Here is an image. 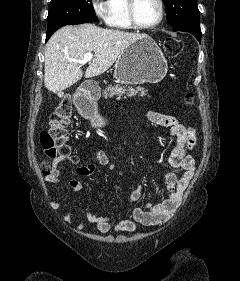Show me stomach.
<instances>
[{
	"label": "stomach",
	"mask_w": 240,
	"mask_h": 281,
	"mask_svg": "<svg viewBox=\"0 0 240 281\" xmlns=\"http://www.w3.org/2000/svg\"><path fill=\"white\" fill-rule=\"evenodd\" d=\"M167 73V61L157 43L148 35L127 47L114 66V78L122 84L160 82ZM93 125L104 124L96 106L89 104L84 112Z\"/></svg>",
	"instance_id": "obj_1"
}]
</instances>
